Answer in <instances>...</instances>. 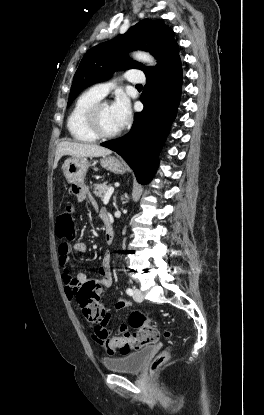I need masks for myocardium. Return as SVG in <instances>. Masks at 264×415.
Listing matches in <instances>:
<instances>
[{
  "mask_svg": "<svg viewBox=\"0 0 264 415\" xmlns=\"http://www.w3.org/2000/svg\"><path fill=\"white\" fill-rule=\"evenodd\" d=\"M107 101H98L93 104L85 113L84 121L89 132L94 135L97 139H113L121 135L123 127H120L117 131L107 134L104 133L100 126V111L103 106L108 105Z\"/></svg>",
  "mask_w": 264,
  "mask_h": 415,
  "instance_id": "myocardium-1",
  "label": "myocardium"
}]
</instances>
